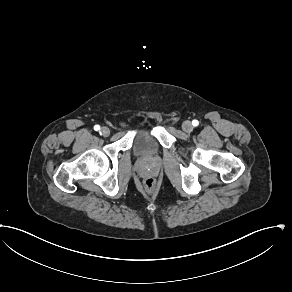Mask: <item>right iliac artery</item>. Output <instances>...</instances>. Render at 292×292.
<instances>
[{
	"mask_svg": "<svg viewBox=\"0 0 292 292\" xmlns=\"http://www.w3.org/2000/svg\"><path fill=\"white\" fill-rule=\"evenodd\" d=\"M94 130H95V131L100 130V126H99V125H95V126H94Z\"/></svg>",
	"mask_w": 292,
	"mask_h": 292,
	"instance_id": "obj_1",
	"label": "right iliac artery"
}]
</instances>
